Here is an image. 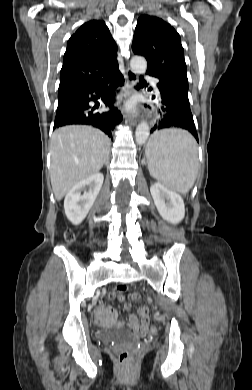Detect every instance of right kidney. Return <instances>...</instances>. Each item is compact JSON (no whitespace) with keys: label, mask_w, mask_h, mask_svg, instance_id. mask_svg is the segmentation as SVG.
<instances>
[{"label":"right kidney","mask_w":252,"mask_h":390,"mask_svg":"<svg viewBox=\"0 0 252 390\" xmlns=\"http://www.w3.org/2000/svg\"><path fill=\"white\" fill-rule=\"evenodd\" d=\"M104 180L102 173H95L78 182L67 193L64 200V210L67 218L74 224H80L87 216ZM88 188V191H87Z\"/></svg>","instance_id":"1"}]
</instances>
